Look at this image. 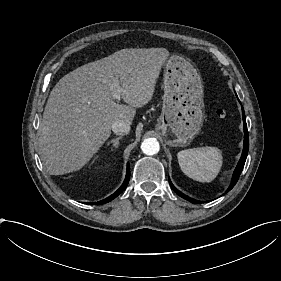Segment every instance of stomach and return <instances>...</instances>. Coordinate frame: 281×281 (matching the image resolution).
<instances>
[{
  "mask_svg": "<svg viewBox=\"0 0 281 281\" xmlns=\"http://www.w3.org/2000/svg\"><path fill=\"white\" fill-rule=\"evenodd\" d=\"M164 99L158 130L169 146H186L204 120V83L194 63L177 53L163 62Z\"/></svg>",
  "mask_w": 281,
  "mask_h": 281,
  "instance_id": "obj_1",
  "label": "stomach"
}]
</instances>
